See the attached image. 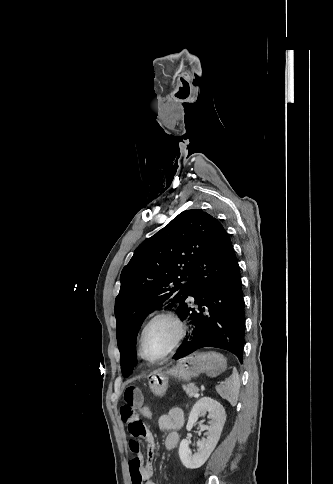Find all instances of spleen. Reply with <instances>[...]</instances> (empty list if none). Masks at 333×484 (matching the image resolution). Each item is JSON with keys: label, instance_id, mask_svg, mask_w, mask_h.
Listing matches in <instances>:
<instances>
[{"label": "spleen", "instance_id": "1", "mask_svg": "<svg viewBox=\"0 0 333 484\" xmlns=\"http://www.w3.org/2000/svg\"><path fill=\"white\" fill-rule=\"evenodd\" d=\"M240 389V379L237 370H233L232 375L225 380V382L216 387L217 393L225 400H227L231 406H235L238 401Z\"/></svg>", "mask_w": 333, "mask_h": 484}]
</instances>
